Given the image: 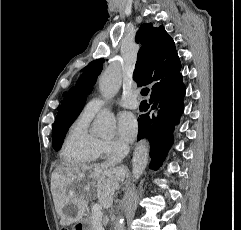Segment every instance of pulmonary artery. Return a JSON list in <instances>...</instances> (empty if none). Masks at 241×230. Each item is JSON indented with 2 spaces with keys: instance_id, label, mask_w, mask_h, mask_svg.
<instances>
[{
  "instance_id": "e3ab8cb5",
  "label": "pulmonary artery",
  "mask_w": 241,
  "mask_h": 230,
  "mask_svg": "<svg viewBox=\"0 0 241 230\" xmlns=\"http://www.w3.org/2000/svg\"><path fill=\"white\" fill-rule=\"evenodd\" d=\"M107 101L103 98L96 97L91 99L85 106V110L90 113H97L105 104ZM118 103L126 108L130 109H136L139 107V101L136 99L134 95H130L127 97H124L118 101Z\"/></svg>"
}]
</instances>
